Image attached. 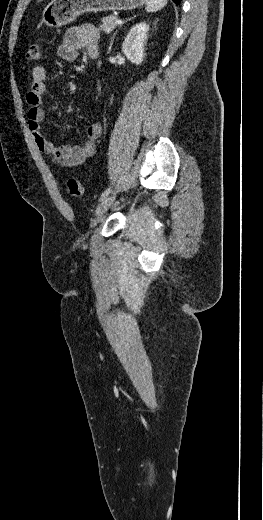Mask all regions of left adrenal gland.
<instances>
[{
  "mask_svg": "<svg viewBox=\"0 0 263 520\" xmlns=\"http://www.w3.org/2000/svg\"><path fill=\"white\" fill-rule=\"evenodd\" d=\"M136 18V15H134L132 18L128 19V20H131V19H134ZM117 31L113 34V36L111 37V42H110V46H109V51H111V47H112V44H113V40H114V37L116 35Z\"/></svg>",
  "mask_w": 263,
  "mask_h": 520,
  "instance_id": "obj_1",
  "label": "left adrenal gland"
}]
</instances>
